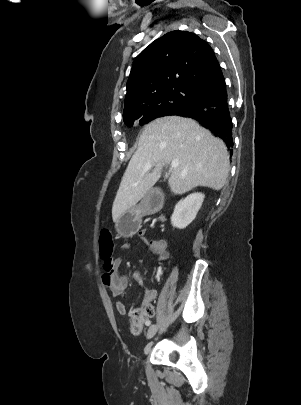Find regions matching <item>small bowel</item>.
<instances>
[{"label":"small bowel","instance_id":"c3829d8e","mask_svg":"<svg viewBox=\"0 0 301 405\" xmlns=\"http://www.w3.org/2000/svg\"><path fill=\"white\" fill-rule=\"evenodd\" d=\"M146 230L141 229L138 232V237L142 239L151 253L156 256L158 262H162L168 259L169 251L167 243L163 239H153L147 241L145 239ZM131 245L129 243H124L122 245L123 249H129ZM121 264V259L119 257L113 258L111 266H106L102 274L103 284L110 290L114 297H121L125 294L129 287V279L126 275L118 273V268ZM132 279L137 282L143 291V301L145 304H151L156 296L157 291L155 289L149 288L144 284L143 278L140 273L135 272L132 274ZM116 309L119 314L125 315L127 313L126 307L122 302L116 303ZM149 320L145 321L146 322ZM134 332V331H133Z\"/></svg>","mask_w":301,"mask_h":405}]
</instances>
